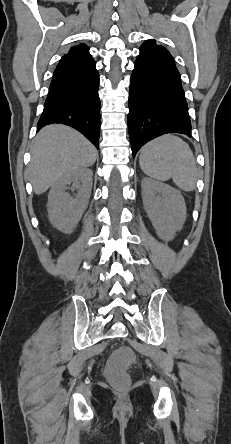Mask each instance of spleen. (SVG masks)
Returning <instances> with one entry per match:
<instances>
[{
	"label": "spleen",
	"mask_w": 231,
	"mask_h": 444,
	"mask_svg": "<svg viewBox=\"0 0 231 444\" xmlns=\"http://www.w3.org/2000/svg\"><path fill=\"white\" fill-rule=\"evenodd\" d=\"M139 164L153 179L173 182L183 191H193L198 179V168L189 145L181 138L164 135L145 144Z\"/></svg>",
	"instance_id": "obj_1"
}]
</instances>
